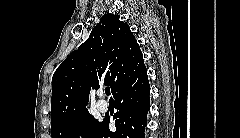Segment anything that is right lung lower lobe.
Returning <instances> with one entry per match:
<instances>
[{
  "label": "right lung lower lobe",
  "mask_w": 240,
  "mask_h": 138,
  "mask_svg": "<svg viewBox=\"0 0 240 138\" xmlns=\"http://www.w3.org/2000/svg\"><path fill=\"white\" fill-rule=\"evenodd\" d=\"M149 94L147 73L120 88L114 95L118 110L114 116L116 131H110L109 122L104 120L94 138H144L150 109Z\"/></svg>",
  "instance_id": "98d812e1"
}]
</instances>
